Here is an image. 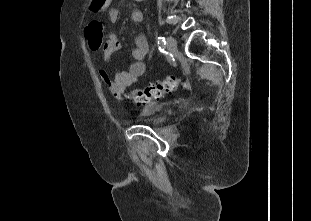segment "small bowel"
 Returning <instances> with one entry per match:
<instances>
[{
	"instance_id": "obj_1",
	"label": "small bowel",
	"mask_w": 311,
	"mask_h": 221,
	"mask_svg": "<svg viewBox=\"0 0 311 221\" xmlns=\"http://www.w3.org/2000/svg\"><path fill=\"white\" fill-rule=\"evenodd\" d=\"M108 13L111 21H116L119 18L120 10L117 7H111L109 8ZM131 20L135 24L142 23L144 20L142 11L134 10L131 14ZM86 29H88V25ZM118 48L119 38L117 33H108L107 40L103 46V59L106 63L111 62L112 57ZM148 54L149 45L146 37L139 34L135 38V45L132 49L134 61L129 65L127 70L116 72L113 78L109 76L107 71L100 70L99 75L101 80L107 86L115 99L122 100L127 88L130 87L138 77L145 73L147 66L144 59L148 56Z\"/></svg>"
}]
</instances>
